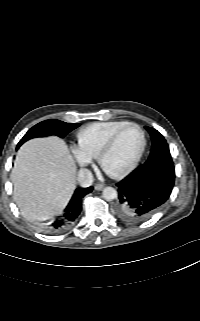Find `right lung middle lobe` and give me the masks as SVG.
<instances>
[{
	"mask_svg": "<svg viewBox=\"0 0 200 321\" xmlns=\"http://www.w3.org/2000/svg\"><path fill=\"white\" fill-rule=\"evenodd\" d=\"M80 124L75 123H66L56 119H50L43 122L38 123L34 127H32L20 140L18 143V147H20L24 142L36 138L43 137L49 135H56L61 138L65 137L70 131L77 128Z\"/></svg>",
	"mask_w": 200,
	"mask_h": 321,
	"instance_id": "obj_1",
	"label": "right lung middle lobe"
}]
</instances>
